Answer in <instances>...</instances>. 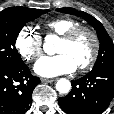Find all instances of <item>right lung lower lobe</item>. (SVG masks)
<instances>
[{
  "label": "right lung lower lobe",
  "instance_id": "1",
  "mask_svg": "<svg viewBox=\"0 0 114 114\" xmlns=\"http://www.w3.org/2000/svg\"><path fill=\"white\" fill-rule=\"evenodd\" d=\"M39 78L27 65L0 69V114H23L29 108L32 92Z\"/></svg>",
  "mask_w": 114,
  "mask_h": 114
}]
</instances>
